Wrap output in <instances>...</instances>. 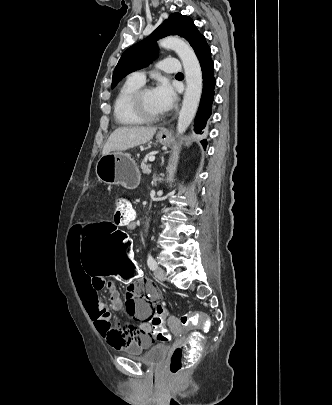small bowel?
Masks as SVG:
<instances>
[{"label": "small bowel", "instance_id": "c3829d8e", "mask_svg": "<svg viewBox=\"0 0 332 405\" xmlns=\"http://www.w3.org/2000/svg\"><path fill=\"white\" fill-rule=\"evenodd\" d=\"M121 222L127 225V221L120 220ZM116 224L119 225V221ZM81 236L79 223L70 231L67 257L77 292L96 330L114 349L125 348L127 353H148L149 347H155L157 343L150 318L155 313L152 311H156L161 305L160 288H149L151 283L144 278L142 282H131L123 303L119 291L107 282L104 275H87L86 268L79 260ZM102 289L109 291V306L100 297ZM122 307L140 321L138 325L118 327L111 322V310Z\"/></svg>", "mask_w": 332, "mask_h": 405}]
</instances>
